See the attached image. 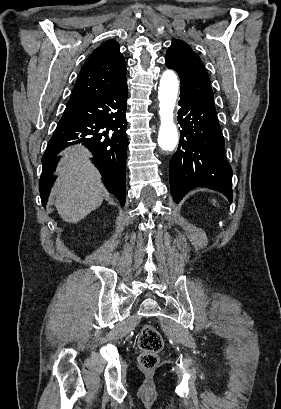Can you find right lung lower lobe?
I'll list each match as a JSON object with an SVG mask.
<instances>
[{"label": "right lung lower lobe", "mask_w": 281, "mask_h": 409, "mask_svg": "<svg viewBox=\"0 0 281 409\" xmlns=\"http://www.w3.org/2000/svg\"><path fill=\"white\" fill-rule=\"evenodd\" d=\"M127 83L85 100L69 101L42 158L39 181L42 204L49 196L50 180L55 171V156L67 146L82 143L95 156L109 192L124 206L126 199ZM72 141V142H68Z\"/></svg>", "instance_id": "right-lung-lower-lobe-1"}]
</instances>
